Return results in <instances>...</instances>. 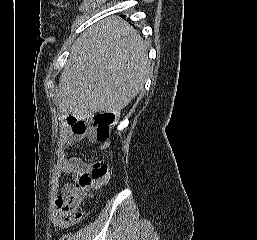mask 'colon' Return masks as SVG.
Returning a JSON list of instances; mask_svg holds the SVG:
<instances>
[{"instance_id":"1","label":"colon","mask_w":257,"mask_h":240,"mask_svg":"<svg viewBox=\"0 0 257 240\" xmlns=\"http://www.w3.org/2000/svg\"><path fill=\"white\" fill-rule=\"evenodd\" d=\"M115 115L112 113H98L88 125L76 118L69 117L66 120L67 128L74 134L82 135L87 129H92L98 141H107L111 129L115 124ZM109 177V165L105 160L96 161L88 173L80 175L75 187L67 194H61L56 199L67 223H77L82 219V213L78 211L82 200L90 191L106 182Z\"/></svg>"}]
</instances>
